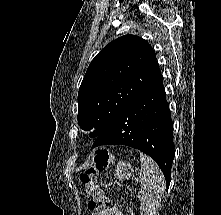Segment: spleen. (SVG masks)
I'll return each instance as SVG.
<instances>
[{
    "instance_id": "spleen-1",
    "label": "spleen",
    "mask_w": 221,
    "mask_h": 215,
    "mask_svg": "<svg viewBox=\"0 0 221 215\" xmlns=\"http://www.w3.org/2000/svg\"><path fill=\"white\" fill-rule=\"evenodd\" d=\"M141 171L139 174L141 187V215H157L165 192V178L159 166L149 156L141 153Z\"/></svg>"
}]
</instances>
